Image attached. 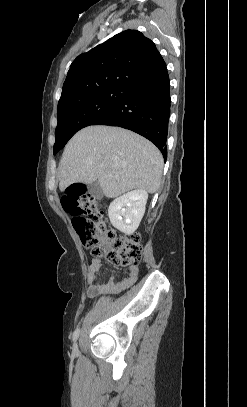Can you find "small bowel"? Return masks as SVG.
<instances>
[{
	"mask_svg": "<svg viewBox=\"0 0 247 407\" xmlns=\"http://www.w3.org/2000/svg\"><path fill=\"white\" fill-rule=\"evenodd\" d=\"M101 268V261L93 258L88 271V294L90 297H97L104 293H118L132 286L138 278V267L133 266L129 269V276L122 281L115 282L113 274H110V280L101 285L97 282V276Z\"/></svg>",
	"mask_w": 247,
	"mask_h": 407,
	"instance_id": "small-bowel-1",
	"label": "small bowel"
}]
</instances>
